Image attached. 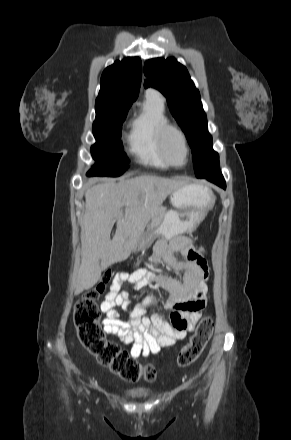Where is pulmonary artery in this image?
<instances>
[{
	"instance_id": "obj_1",
	"label": "pulmonary artery",
	"mask_w": 291,
	"mask_h": 440,
	"mask_svg": "<svg viewBox=\"0 0 291 440\" xmlns=\"http://www.w3.org/2000/svg\"><path fill=\"white\" fill-rule=\"evenodd\" d=\"M151 90V89H150ZM155 91V90H154ZM155 92H157V91H155ZM158 94H160L159 92H157ZM161 95V94H160ZM161 97L163 98V96L161 95Z\"/></svg>"
}]
</instances>
